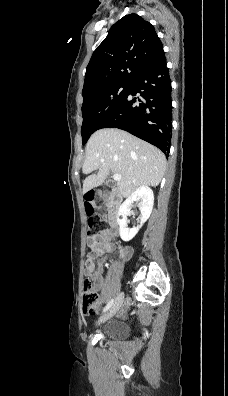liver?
Returning a JSON list of instances; mask_svg holds the SVG:
<instances>
[{
  "instance_id": "6515ba94",
  "label": "liver",
  "mask_w": 228,
  "mask_h": 396,
  "mask_svg": "<svg viewBox=\"0 0 228 396\" xmlns=\"http://www.w3.org/2000/svg\"><path fill=\"white\" fill-rule=\"evenodd\" d=\"M89 175L83 182V192L101 185L110 172L121 175L117 188L123 197H129L140 186L156 187L161 182L166 157L155 146L126 131L105 128L96 131L86 145V158L82 167Z\"/></svg>"
}]
</instances>
